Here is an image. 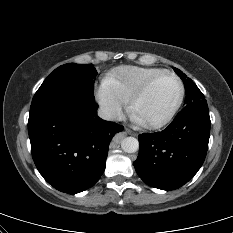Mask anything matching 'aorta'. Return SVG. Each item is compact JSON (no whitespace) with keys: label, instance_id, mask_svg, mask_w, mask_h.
Instances as JSON below:
<instances>
[{"label":"aorta","instance_id":"1","mask_svg":"<svg viewBox=\"0 0 233 233\" xmlns=\"http://www.w3.org/2000/svg\"><path fill=\"white\" fill-rule=\"evenodd\" d=\"M121 148L126 153H134L139 149V142L134 137H126L121 142Z\"/></svg>","mask_w":233,"mask_h":233}]
</instances>
